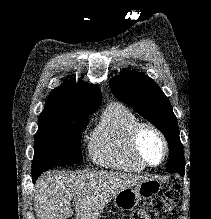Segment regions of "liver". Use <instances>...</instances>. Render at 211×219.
Wrapping results in <instances>:
<instances>
[{
    "label": "liver",
    "mask_w": 211,
    "mask_h": 219,
    "mask_svg": "<svg viewBox=\"0 0 211 219\" xmlns=\"http://www.w3.org/2000/svg\"><path fill=\"white\" fill-rule=\"evenodd\" d=\"M147 180L136 174L92 171L78 174L47 172L35 184L34 209L38 219H98L106 204L121 190Z\"/></svg>",
    "instance_id": "obj_1"
}]
</instances>
